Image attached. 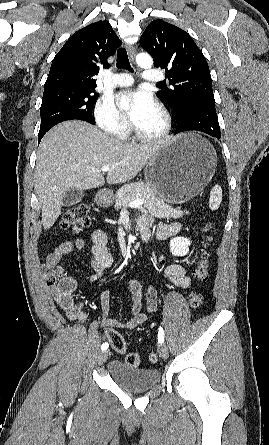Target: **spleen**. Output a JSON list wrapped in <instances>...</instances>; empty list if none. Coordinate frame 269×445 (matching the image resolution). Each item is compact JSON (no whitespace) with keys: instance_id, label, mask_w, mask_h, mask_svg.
Listing matches in <instances>:
<instances>
[{"instance_id":"1","label":"spleen","mask_w":269,"mask_h":445,"mask_svg":"<svg viewBox=\"0 0 269 445\" xmlns=\"http://www.w3.org/2000/svg\"><path fill=\"white\" fill-rule=\"evenodd\" d=\"M222 201V189L219 185H215L210 191L209 208L217 210Z\"/></svg>"}]
</instances>
